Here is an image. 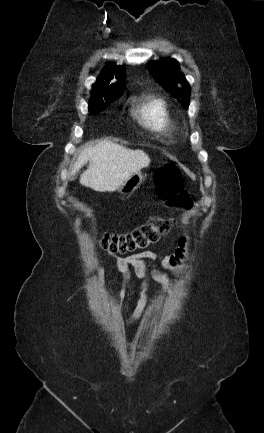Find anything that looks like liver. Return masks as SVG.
<instances>
[{
    "instance_id": "1",
    "label": "liver",
    "mask_w": 264,
    "mask_h": 433,
    "mask_svg": "<svg viewBox=\"0 0 264 433\" xmlns=\"http://www.w3.org/2000/svg\"><path fill=\"white\" fill-rule=\"evenodd\" d=\"M89 161V166L80 176V183L99 192H114L132 174L150 163L149 156L142 150L127 149L108 139L96 145L83 146L74 163L71 176Z\"/></svg>"
}]
</instances>
